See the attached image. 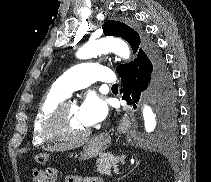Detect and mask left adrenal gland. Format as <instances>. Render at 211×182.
<instances>
[{
	"label": "left adrenal gland",
	"instance_id": "a2214340",
	"mask_svg": "<svg viewBox=\"0 0 211 182\" xmlns=\"http://www.w3.org/2000/svg\"><path fill=\"white\" fill-rule=\"evenodd\" d=\"M139 162H140V161H137V162H136V165H135V167H134L133 169H135V168L138 166ZM133 169H132L131 171H133ZM131 171H130V172H131Z\"/></svg>",
	"mask_w": 211,
	"mask_h": 182
}]
</instances>
